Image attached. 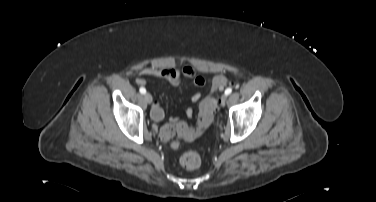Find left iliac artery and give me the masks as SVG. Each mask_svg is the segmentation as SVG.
I'll use <instances>...</instances> for the list:
<instances>
[{
    "label": "left iliac artery",
    "mask_w": 376,
    "mask_h": 202,
    "mask_svg": "<svg viewBox=\"0 0 376 202\" xmlns=\"http://www.w3.org/2000/svg\"><path fill=\"white\" fill-rule=\"evenodd\" d=\"M231 92H232V88H227V89L225 90V94H226V95L231 94Z\"/></svg>",
    "instance_id": "obj_1"
}]
</instances>
